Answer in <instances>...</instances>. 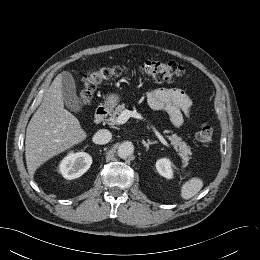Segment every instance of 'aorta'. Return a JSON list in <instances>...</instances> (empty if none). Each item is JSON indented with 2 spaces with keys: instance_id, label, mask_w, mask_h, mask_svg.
Returning <instances> with one entry per match:
<instances>
[{
  "instance_id": "1",
  "label": "aorta",
  "mask_w": 260,
  "mask_h": 260,
  "mask_svg": "<svg viewBox=\"0 0 260 260\" xmlns=\"http://www.w3.org/2000/svg\"><path fill=\"white\" fill-rule=\"evenodd\" d=\"M134 152V146L131 142L125 141L118 147L117 154L120 158H128Z\"/></svg>"
}]
</instances>
